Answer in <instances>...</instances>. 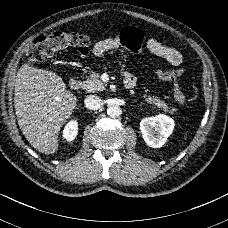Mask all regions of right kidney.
Here are the masks:
<instances>
[{
	"mask_svg": "<svg viewBox=\"0 0 228 228\" xmlns=\"http://www.w3.org/2000/svg\"><path fill=\"white\" fill-rule=\"evenodd\" d=\"M77 134V125L74 121L70 122L64 130V137L68 140L73 139Z\"/></svg>",
	"mask_w": 228,
	"mask_h": 228,
	"instance_id": "ca27d5eb",
	"label": "right kidney"
}]
</instances>
